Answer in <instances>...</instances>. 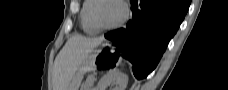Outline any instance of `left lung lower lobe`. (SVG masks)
<instances>
[{
    "label": "left lung lower lobe",
    "mask_w": 228,
    "mask_h": 90,
    "mask_svg": "<svg viewBox=\"0 0 228 90\" xmlns=\"http://www.w3.org/2000/svg\"><path fill=\"white\" fill-rule=\"evenodd\" d=\"M189 5L188 0H131L132 18L126 27L105 34L133 64L137 79L145 78L157 66Z\"/></svg>",
    "instance_id": "0a47b994"
}]
</instances>
